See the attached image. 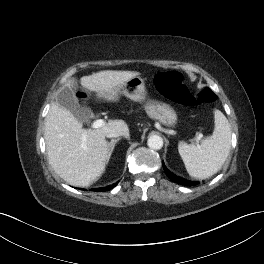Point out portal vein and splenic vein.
<instances>
[{
  "label": "portal vein and splenic vein",
  "instance_id": "portal-vein-and-splenic-vein-1",
  "mask_svg": "<svg viewBox=\"0 0 264 264\" xmlns=\"http://www.w3.org/2000/svg\"><path fill=\"white\" fill-rule=\"evenodd\" d=\"M104 120L103 119H98V120H95L92 124V128L96 129V128H100L104 125Z\"/></svg>",
  "mask_w": 264,
  "mask_h": 264
}]
</instances>
